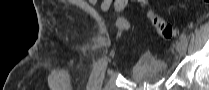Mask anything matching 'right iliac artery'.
I'll return each mask as SVG.
<instances>
[{"label":"right iliac artery","mask_w":209,"mask_h":90,"mask_svg":"<svg viewBox=\"0 0 209 90\" xmlns=\"http://www.w3.org/2000/svg\"><path fill=\"white\" fill-rule=\"evenodd\" d=\"M104 62H105V58H102L95 64V66L93 68V71H92V74L89 78V82H88V85H87V90H94L100 67Z\"/></svg>","instance_id":"82829eb1"}]
</instances>
